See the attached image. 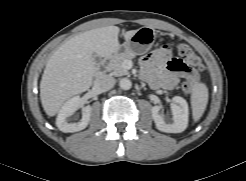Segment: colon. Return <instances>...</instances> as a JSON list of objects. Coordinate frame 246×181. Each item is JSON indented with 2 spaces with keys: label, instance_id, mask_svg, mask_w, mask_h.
<instances>
[{
  "label": "colon",
  "instance_id": "obj_1",
  "mask_svg": "<svg viewBox=\"0 0 246 181\" xmlns=\"http://www.w3.org/2000/svg\"><path fill=\"white\" fill-rule=\"evenodd\" d=\"M177 52L185 61L188 72L187 79L182 84V90L185 93H191L195 83L199 79V71L203 67L201 59L186 44H179L177 46Z\"/></svg>",
  "mask_w": 246,
  "mask_h": 181
}]
</instances>
